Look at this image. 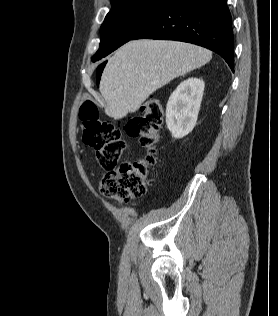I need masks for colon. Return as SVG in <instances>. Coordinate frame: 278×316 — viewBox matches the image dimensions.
Listing matches in <instances>:
<instances>
[{
  "instance_id": "5ec220e1",
  "label": "colon",
  "mask_w": 278,
  "mask_h": 316,
  "mask_svg": "<svg viewBox=\"0 0 278 316\" xmlns=\"http://www.w3.org/2000/svg\"><path fill=\"white\" fill-rule=\"evenodd\" d=\"M79 115L83 141L95 149L99 164L106 170L100 183L101 193L122 202L143 196L148 186V168L155 163L156 145L160 137L163 119L160 103L154 99L148 100L141 108V115L126 125L127 133L139 137L141 145L147 149L145 158L135 162L120 163L125 149L121 132L113 123L100 117L92 101H85L81 105Z\"/></svg>"
}]
</instances>
